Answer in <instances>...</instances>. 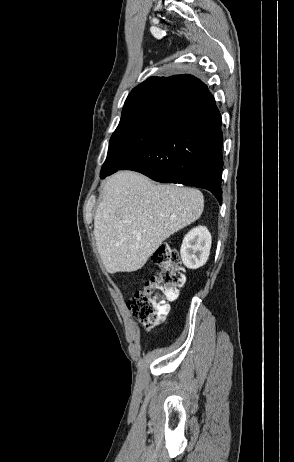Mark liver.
I'll return each mask as SVG.
<instances>
[{
	"instance_id": "1",
	"label": "liver",
	"mask_w": 294,
	"mask_h": 462,
	"mask_svg": "<svg viewBox=\"0 0 294 462\" xmlns=\"http://www.w3.org/2000/svg\"><path fill=\"white\" fill-rule=\"evenodd\" d=\"M204 198L193 188L155 185L122 171L103 184L94 217L96 245L109 273L141 269L164 240L196 221Z\"/></svg>"
}]
</instances>
